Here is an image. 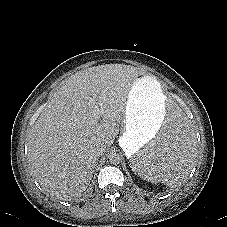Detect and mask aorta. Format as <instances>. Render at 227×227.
Instances as JSON below:
<instances>
[{
	"instance_id": "1",
	"label": "aorta",
	"mask_w": 227,
	"mask_h": 227,
	"mask_svg": "<svg viewBox=\"0 0 227 227\" xmlns=\"http://www.w3.org/2000/svg\"><path fill=\"white\" fill-rule=\"evenodd\" d=\"M108 157H109V162L111 164H115L116 165V164L120 163L121 158H120V155L118 153L112 152V153L109 154Z\"/></svg>"
}]
</instances>
